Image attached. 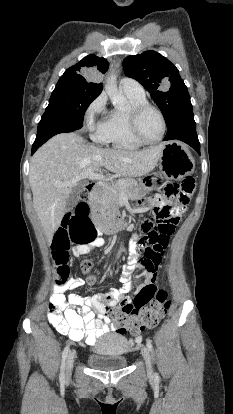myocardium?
I'll list each match as a JSON object with an SVG mask.
<instances>
[{
  "label": "myocardium",
  "mask_w": 233,
  "mask_h": 414,
  "mask_svg": "<svg viewBox=\"0 0 233 414\" xmlns=\"http://www.w3.org/2000/svg\"><path fill=\"white\" fill-rule=\"evenodd\" d=\"M149 109H152V110L156 111L159 114V116L161 118V121H162V132H161L160 136L157 139H155V140H148V139H146L142 135V133H141V131L139 129V119H140V116L145 111H147ZM127 122H128V127H129V130H130L131 134L139 142H141L143 144H148V145H150V144H156V143L160 142L164 138V136L166 134L167 121H166V118H165L164 113L162 112V110L159 107H157V106H155V105H153L151 103H148V102L143 103V104H140V105H136V106H133V107H130L128 109V111H127Z\"/></svg>",
  "instance_id": "myocardium-1"
}]
</instances>
